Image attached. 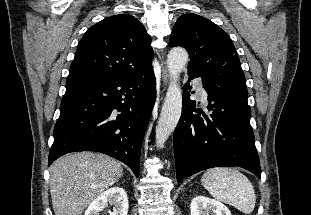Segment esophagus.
Returning a JSON list of instances; mask_svg holds the SVG:
<instances>
[{"mask_svg":"<svg viewBox=\"0 0 311 215\" xmlns=\"http://www.w3.org/2000/svg\"><path fill=\"white\" fill-rule=\"evenodd\" d=\"M162 79H163V83H164V84H167L168 81H169V76H168V73H167L166 68H163V71H162Z\"/></svg>","mask_w":311,"mask_h":215,"instance_id":"esophagus-1","label":"esophagus"}]
</instances>
